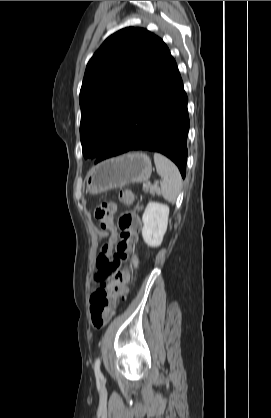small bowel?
<instances>
[{
    "label": "small bowel",
    "instance_id": "c3829d8e",
    "mask_svg": "<svg viewBox=\"0 0 271 418\" xmlns=\"http://www.w3.org/2000/svg\"><path fill=\"white\" fill-rule=\"evenodd\" d=\"M138 260L137 257L134 256L133 257V264L137 265ZM129 280V276L127 274H121L120 277H110L108 279H106L102 285L106 288V290L110 293L113 294L115 293V286L118 284V282H127ZM101 284V283H100Z\"/></svg>",
    "mask_w": 271,
    "mask_h": 418
}]
</instances>
